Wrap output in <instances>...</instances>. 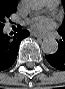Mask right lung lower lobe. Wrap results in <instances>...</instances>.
I'll return each mask as SVG.
<instances>
[{
    "label": "right lung lower lobe",
    "mask_w": 65,
    "mask_h": 89,
    "mask_svg": "<svg viewBox=\"0 0 65 89\" xmlns=\"http://www.w3.org/2000/svg\"><path fill=\"white\" fill-rule=\"evenodd\" d=\"M27 30H19L13 38L0 29V71L8 69L15 62L20 42L28 36Z\"/></svg>",
    "instance_id": "right-lung-lower-lobe-1"
}]
</instances>
